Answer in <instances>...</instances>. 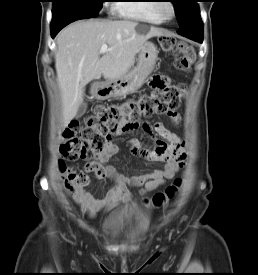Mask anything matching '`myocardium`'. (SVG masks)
Instances as JSON below:
<instances>
[{
  "label": "myocardium",
  "mask_w": 258,
  "mask_h": 275,
  "mask_svg": "<svg viewBox=\"0 0 258 275\" xmlns=\"http://www.w3.org/2000/svg\"><path fill=\"white\" fill-rule=\"evenodd\" d=\"M161 3H157L156 4V11L158 13V15L160 16V18L163 21H171L176 17V8L174 6L173 3L171 2H164V1H160ZM169 7L171 9V13L170 15H166L164 13V7Z\"/></svg>",
  "instance_id": "obj_1"
}]
</instances>
